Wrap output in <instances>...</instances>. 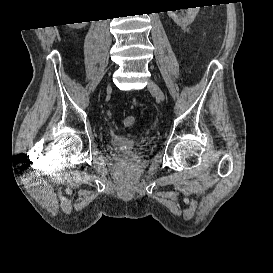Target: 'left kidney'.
Instances as JSON below:
<instances>
[{"label": "left kidney", "mask_w": 273, "mask_h": 273, "mask_svg": "<svg viewBox=\"0 0 273 273\" xmlns=\"http://www.w3.org/2000/svg\"><path fill=\"white\" fill-rule=\"evenodd\" d=\"M185 11H186V15L177 14V10L167 11V13H168V16L172 18L177 25H179L181 28L184 29L194 21L199 11V7L188 8V9H185Z\"/></svg>", "instance_id": "obj_1"}]
</instances>
